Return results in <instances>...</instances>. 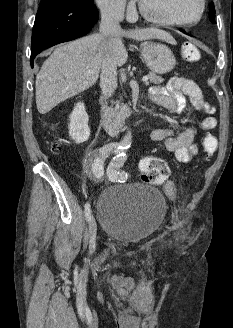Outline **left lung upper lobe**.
Here are the masks:
<instances>
[{
    "label": "left lung upper lobe",
    "instance_id": "left-lung-upper-lobe-1",
    "mask_svg": "<svg viewBox=\"0 0 233 328\" xmlns=\"http://www.w3.org/2000/svg\"><path fill=\"white\" fill-rule=\"evenodd\" d=\"M214 16H215V8L213 3H211L209 6V17H210V21L215 24L216 22L214 20Z\"/></svg>",
    "mask_w": 233,
    "mask_h": 328
}]
</instances>
